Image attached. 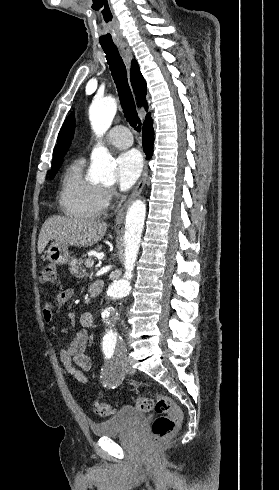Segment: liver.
<instances>
[{"mask_svg": "<svg viewBox=\"0 0 279 490\" xmlns=\"http://www.w3.org/2000/svg\"><path fill=\"white\" fill-rule=\"evenodd\" d=\"M107 232L105 222L92 218H62L51 216L44 222L38 238V254H42L50 240L63 246H93Z\"/></svg>", "mask_w": 279, "mask_h": 490, "instance_id": "1", "label": "liver"}]
</instances>
